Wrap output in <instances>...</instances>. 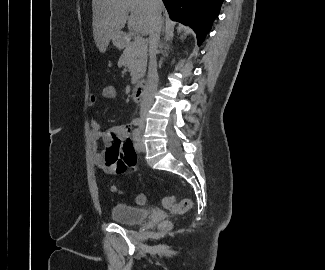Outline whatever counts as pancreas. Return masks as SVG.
<instances>
[{
	"instance_id": "obj_1",
	"label": "pancreas",
	"mask_w": 325,
	"mask_h": 270,
	"mask_svg": "<svg viewBox=\"0 0 325 270\" xmlns=\"http://www.w3.org/2000/svg\"><path fill=\"white\" fill-rule=\"evenodd\" d=\"M147 45H138L135 41L130 43L119 59V65L128 68L135 84L144 76L147 65Z\"/></svg>"
}]
</instances>
